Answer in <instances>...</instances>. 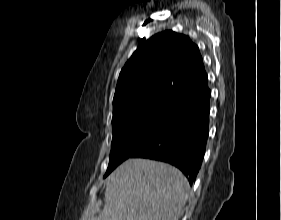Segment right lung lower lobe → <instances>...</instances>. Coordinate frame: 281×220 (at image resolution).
Segmentation results:
<instances>
[{
  "label": "right lung lower lobe",
  "instance_id": "98d812e1",
  "mask_svg": "<svg viewBox=\"0 0 281 220\" xmlns=\"http://www.w3.org/2000/svg\"><path fill=\"white\" fill-rule=\"evenodd\" d=\"M210 95L211 91L207 90L181 104L131 157L170 163L192 185L202 165L208 138Z\"/></svg>",
  "mask_w": 281,
  "mask_h": 220
}]
</instances>
